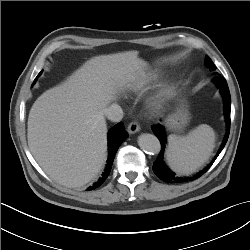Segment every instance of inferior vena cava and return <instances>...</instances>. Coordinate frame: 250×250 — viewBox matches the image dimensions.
<instances>
[{"label":"inferior vena cava","mask_w":250,"mask_h":250,"mask_svg":"<svg viewBox=\"0 0 250 250\" xmlns=\"http://www.w3.org/2000/svg\"><path fill=\"white\" fill-rule=\"evenodd\" d=\"M105 116L112 122H119L123 118V110L118 104H112L104 109Z\"/></svg>","instance_id":"obj_1"}]
</instances>
